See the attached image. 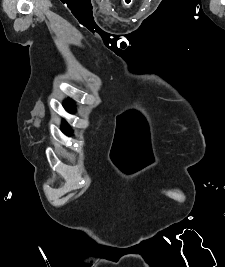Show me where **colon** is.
Listing matches in <instances>:
<instances>
[{
  "instance_id": "1",
  "label": "colon",
  "mask_w": 225,
  "mask_h": 267,
  "mask_svg": "<svg viewBox=\"0 0 225 267\" xmlns=\"http://www.w3.org/2000/svg\"><path fill=\"white\" fill-rule=\"evenodd\" d=\"M131 0H125V4L128 6Z\"/></svg>"
}]
</instances>
